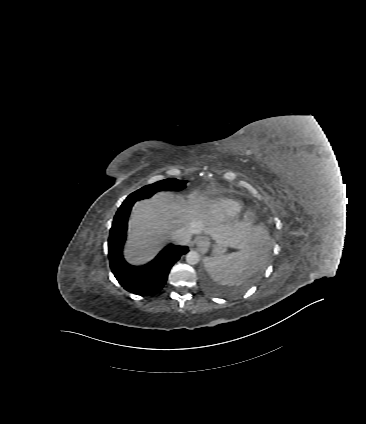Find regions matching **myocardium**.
Returning <instances> with one entry per match:
<instances>
[{"label": "myocardium", "mask_w": 366, "mask_h": 424, "mask_svg": "<svg viewBox=\"0 0 366 424\" xmlns=\"http://www.w3.org/2000/svg\"><path fill=\"white\" fill-rule=\"evenodd\" d=\"M246 217L247 218H252V214L251 213H248Z\"/></svg>", "instance_id": "1"}]
</instances>
